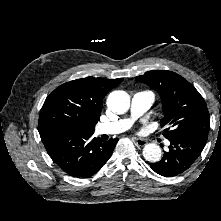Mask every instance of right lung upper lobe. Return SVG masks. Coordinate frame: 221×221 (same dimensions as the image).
<instances>
[{
  "label": "right lung upper lobe",
  "mask_w": 221,
  "mask_h": 221,
  "mask_svg": "<svg viewBox=\"0 0 221 221\" xmlns=\"http://www.w3.org/2000/svg\"><path fill=\"white\" fill-rule=\"evenodd\" d=\"M123 78L87 77L62 84L46 98L39 115V133L48 130L86 132L99 121L103 98Z\"/></svg>",
  "instance_id": "right-lung-upper-lobe-1"
}]
</instances>
